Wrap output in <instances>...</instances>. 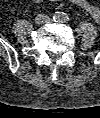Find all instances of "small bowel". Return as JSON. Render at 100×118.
<instances>
[{"mask_svg":"<svg viewBox=\"0 0 100 118\" xmlns=\"http://www.w3.org/2000/svg\"><path fill=\"white\" fill-rule=\"evenodd\" d=\"M33 3H41L44 0H29ZM49 1H59V0H49ZM72 4L79 6L82 8L84 11H86L91 17L96 21L100 22V9L94 5L91 1L89 0H69Z\"/></svg>","mask_w":100,"mask_h":118,"instance_id":"c3829d8e","label":"small bowel"}]
</instances>
